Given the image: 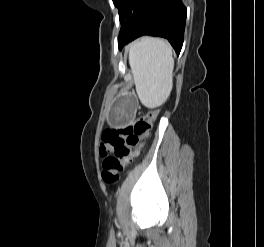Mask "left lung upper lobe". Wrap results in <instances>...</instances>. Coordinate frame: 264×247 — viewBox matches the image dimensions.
<instances>
[{
	"label": "left lung upper lobe",
	"instance_id": "5c2ea615",
	"mask_svg": "<svg viewBox=\"0 0 264 247\" xmlns=\"http://www.w3.org/2000/svg\"><path fill=\"white\" fill-rule=\"evenodd\" d=\"M144 1L145 0H113L114 5L118 7L119 17L122 23L119 36L122 34L123 30L134 17V15L139 11ZM132 10L133 16L129 19V15ZM125 18L127 19V22L123 23Z\"/></svg>",
	"mask_w": 264,
	"mask_h": 247
}]
</instances>
